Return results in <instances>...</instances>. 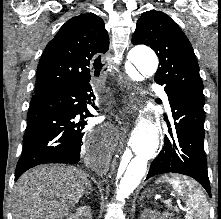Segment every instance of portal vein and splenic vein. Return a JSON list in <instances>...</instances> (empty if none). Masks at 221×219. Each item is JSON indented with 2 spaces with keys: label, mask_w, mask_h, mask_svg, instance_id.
<instances>
[{
  "label": "portal vein and splenic vein",
  "mask_w": 221,
  "mask_h": 219,
  "mask_svg": "<svg viewBox=\"0 0 221 219\" xmlns=\"http://www.w3.org/2000/svg\"><path fill=\"white\" fill-rule=\"evenodd\" d=\"M164 203L165 204H171V200H166V201H164ZM180 207V209H182L183 211H187V209L186 208H183L182 206H179Z\"/></svg>",
  "instance_id": "obj_1"
}]
</instances>
